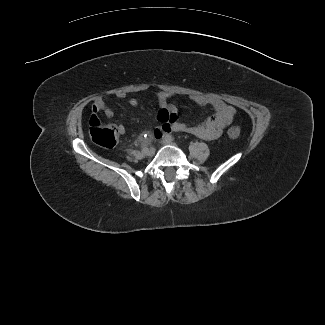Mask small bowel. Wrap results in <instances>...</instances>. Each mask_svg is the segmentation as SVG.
I'll use <instances>...</instances> for the list:
<instances>
[{"mask_svg":"<svg viewBox=\"0 0 325 325\" xmlns=\"http://www.w3.org/2000/svg\"><path fill=\"white\" fill-rule=\"evenodd\" d=\"M114 97L124 100L128 105L136 107L138 100L128 98L124 92H117ZM157 99L160 105L158 119L162 125L155 130V134L162 135L169 131L184 132L196 135L205 140L218 138L223 130L232 122L235 115V108L224 101L201 94H190L188 98L200 106H209L214 110V115L198 125H188L178 120V109L174 104L168 103V99L173 96L169 91H160L157 93ZM109 96H99L95 99L92 111L93 113L103 112L107 118L113 116L112 109L107 105ZM118 132L125 134V128L118 126Z\"/></svg>","mask_w":325,"mask_h":325,"instance_id":"1","label":"small bowel"}]
</instances>
